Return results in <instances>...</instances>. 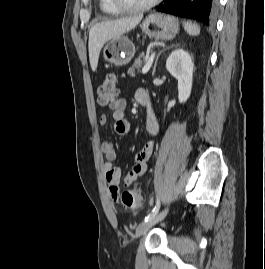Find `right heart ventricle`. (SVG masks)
Masks as SVG:
<instances>
[{
  "instance_id": "right-heart-ventricle-1",
  "label": "right heart ventricle",
  "mask_w": 265,
  "mask_h": 269,
  "mask_svg": "<svg viewBox=\"0 0 265 269\" xmlns=\"http://www.w3.org/2000/svg\"><path fill=\"white\" fill-rule=\"evenodd\" d=\"M99 7L105 14H119L121 11L117 9L111 0H99Z\"/></svg>"
}]
</instances>
